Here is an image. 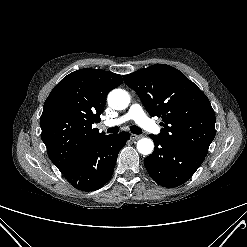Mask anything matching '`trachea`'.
Returning a JSON list of instances; mask_svg holds the SVG:
<instances>
[{"label": "trachea", "mask_w": 247, "mask_h": 247, "mask_svg": "<svg viewBox=\"0 0 247 247\" xmlns=\"http://www.w3.org/2000/svg\"><path fill=\"white\" fill-rule=\"evenodd\" d=\"M130 130H131V132H132L133 134L139 135V134L142 133L141 128H139V127L136 126V125L131 126V127H130ZM118 131H119V127H117V126L111 127V128H108V129H107V132H108V133H117Z\"/></svg>", "instance_id": "trachea-1"}]
</instances>
